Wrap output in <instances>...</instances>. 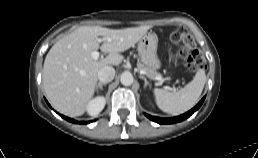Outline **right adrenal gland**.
Listing matches in <instances>:
<instances>
[{
	"label": "right adrenal gland",
	"mask_w": 258,
	"mask_h": 158,
	"mask_svg": "<svg viewBox=\"0 0 258 158\" xmlns=\"http://www.w3.org/2000/svg\"><path fill=\"white\" fill-rule=\"evenodd\" d=\"M107 83H98V85L96 86V90L99 91V90H102L103 89V86H105Z\"/></svg>",
	"instance_id": "obj_1"
}]
</instances>
